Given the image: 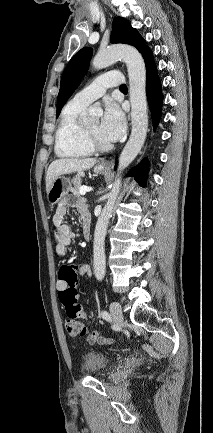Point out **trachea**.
Here are the masks:
<instances>
[{"instance_id":"1","label":"trachea","mask_w":213,"mask_h":433,"mask_svg":"<svg viewBox=\"0 0 213 433\" xmlns=\"http://www.w3.org/2000/svg\"><path fill=\"white\" fill-rule=\"evenodd\" d=\"M120 89H127V86L124 84V85H121L120 86Z\"/></svg>"}]
</instances>
